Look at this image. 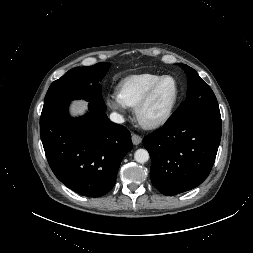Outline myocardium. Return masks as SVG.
I'll return each mask as SVG.
<instances>
[{"mask_svg": "<svg viewBox=\"0 0 253 253\" xmlns=\"http://www.w3.org/2000/svg\"><path fill=\"white\" fill-rule=\"evenodd\" d=\"M166 79L173 80V82L175 84L174 97L162 116H160L159 118H157L155 120L147 121L144 119V116H143L144 111L147 108V106L149 105V103L151 102L152 98L154 97L156 91L158 90V88L160 87L162 82L165 81ZM179 96H180V87H179V83L175 77H173L171 75H164L161 78H159L152 85V87L147 91V93L144 95V97L140 100V102L135 107V117H136V120L139 123V125L141 127H143L144 129H149V130L157 129V128H160L163 125H165L173 114L175 106L179 100Z\"/></svg>", "mask_w": 253, "mask_h": 253, "instance_id": "myocardium-1", "label": "myocardium"}]
</instances>
